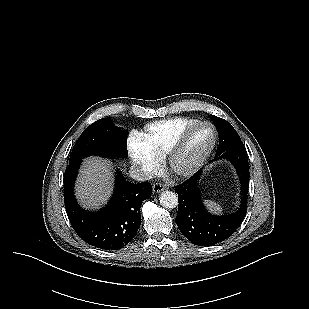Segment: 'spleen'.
I'll use <instances>...</instances> for the list:
<instances>
[{
	"label": "spleen",
	"instance_id": "1",
	"mask_svg": "<svg viewBox=\"0 0 309 309\" xmlns=\"http://www.w3.org/2000/svg\"><path fill=\"white\" fill-rule=\"evenodd\" d=\"M206 206L213 212L215 213H221L222 208L220 207V205H218L217 203L210 201V200H206L205 201Z\"/></svg>",
	"mask_w": 309,
	"mask_h": 309
}]
</instances>
